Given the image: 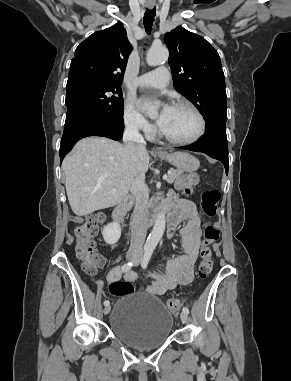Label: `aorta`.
<instances>
[{
  "instance_id": "aorta-1",
  "label": "aorta",
  "mask_w": 291,
  "mask_h": 381,
  "mask_svg": "<svg viewBox=\"0 0 291 381\" xmlns=\"http://www.w3.org/2000/svg\"><path fill=\"white\" fill-rule=\"evenodd\" d=\"M169 56L168 49L165 46H159V47H151L147 53L146 61L147 64L150 66H157L159 64L164 63L167 61ZM157 111L155 108H152L149 112L150 115L156 114ZM165 214L164 212H160L156 218L154 227L149 234L147 241H146V248L154 250L162 238L164 231H165Z\"/></svg>"
}]
</instances>
